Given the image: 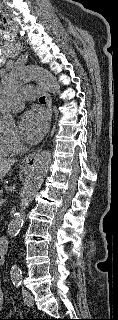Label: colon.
Listing matches in <instances>:
<instances>
[{
	"label": "colon",
	"instance_id": "colon-1",
	"mask_svg": "<svg viewBox=\"0 0 118 320\" xmlns=\"http://www.w3.org/2000/svg\"><path fill=\"white\" fill-rule=\"evenodd\" d=\"M0 320H10V319H0Z\"/></svg>",
	"mask_w": 118,
	"mask_h": 320
}]
</instances>
